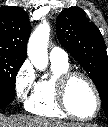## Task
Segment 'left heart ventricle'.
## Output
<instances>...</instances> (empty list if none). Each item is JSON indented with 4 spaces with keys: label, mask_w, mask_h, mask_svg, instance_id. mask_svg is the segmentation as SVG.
Instances as JSON below:
<instances>
[{
    "label": "left heart ventricle",
    "mask_w": 108,
    "mask_h": 127,
    "mask_svg": "<svg viewBox=\"0 0 108 127\" xmlns=\"http://www.w3.org/2000/svg\"><path fill=\"white\" fill-rule=\"evenodd\" d=\"M68 104L79 116H91L96 108V98L90 86L82 79L72 81L68 90Z\"/></svg>",
    "instance_id": "b2bd125f"
}]
</instances>
